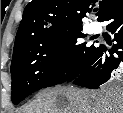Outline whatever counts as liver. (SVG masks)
I'll return each instance as SVG.
<instances>
[{"label":"liver","mask_w":123,"mask_h":113,"mask_svg":"<svg viewBox=\"0 0 123 113\" xmlns=\"http://www.w3.org/2000/svg\"><path fill=\"white\" fill-rule=\"evenodd\" d=\"M21 113H123V91L58 86L37 94Z\"/></svg>","instance_id":"liver-1"}]
</instances>
